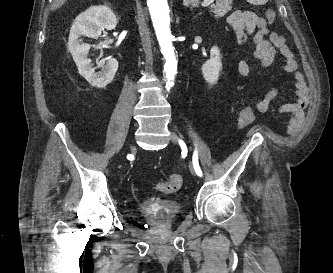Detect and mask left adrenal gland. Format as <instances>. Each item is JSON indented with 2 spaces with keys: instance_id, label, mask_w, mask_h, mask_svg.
Returning a JSON list of instances; mask_svg holds the SVG:
<instances>
[{
  "instance_id": "obj_1",
  "label": "left adrenal gland",
  "mask_w": 333,
  "mask_h": 273,
  "mask_svg": "<svg viewBox=\"0 0 333 273\" xmlns=\"http://www.w3.org/2000/svg\"><path fill=\"white\" fill-rule=\"evenodd\" d=\"M183 5L185 7H191L192 8H196V7H199L198 5V1L197 0H183Z\"/></svg>"
}]
</instances>
